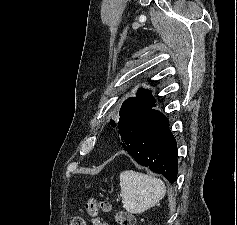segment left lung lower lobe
<instances>
[{"label":"left lung lower lobe","mask_w":237,"mask_h":225,"mask_svg":"<svg viewBox=\"0 0 237 225\" xmlns=\"http://www.w3.org/2000/svg\"><path fill=\"white\" fill-rule=\"evenodd\" d=\"M117 126L122 147L136 162L176 181L177 146L163 114L145 105L125 114Z\"/></svg>","instance_id":"obj_1"}]
</instances>
